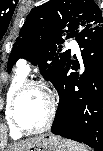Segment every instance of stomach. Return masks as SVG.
Here are the masks:
<instances>
[{
    "label": "stomach",
    "instance_id": "obj_1",
    "mask_svg": "<svg viewBox=\"0 0 103 151\" xmlns=\"http://www.w3.org/2000/svg\"><path fill=\"white\" fill-rule=\"evenodd\" d=\"M26 151H66V146L62 138L48 134L36 137Z\"/></svg>",
    "mask_w": 103,
    "mask_h": 151
}]
</instances>
